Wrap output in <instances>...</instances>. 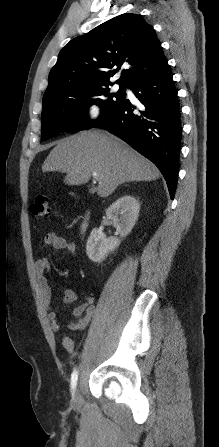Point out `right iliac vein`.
Listing matches in <instances>:
<instances>
[{
  "mask_svg": "<svg viewBox=\"0 0 219 447\" xmlns=\"http://www.w3.org/2000/svg\"><path fill=\"white\" fill-rule=\"evenodd\" d=\"M73 404L75 407H80L82 404L81 385L77 384L74 390Z\"/></svg>",
  "mask_w": 219,
  "mask_h": 447,
  "instance_id": "right-iliac-vein-1",
  "label": "right iliac vein"
}]
</instances>
